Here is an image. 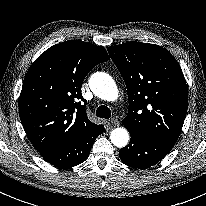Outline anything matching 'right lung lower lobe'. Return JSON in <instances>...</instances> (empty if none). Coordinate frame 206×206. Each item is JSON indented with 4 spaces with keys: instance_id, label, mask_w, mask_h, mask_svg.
<instances>
[{
    "instance_id": "1",
    "label": "right lung lower lobe",
    "mask_w": 206,
    "mask_h": 206,
    "mask_svg": "<svg viewBox=\"0 0 206 206\" xmlns=\"http://www.w3.org/2000/svg\"><path fill=\"white\" fill-rule=\"evenodd\" d=\"M103 131L104 126L100 125L97 129L75 143L55 151L42 153L41 156L58 168H71L79 165L87 159L95 139Z\"/></svg>"
}]
</instances>
